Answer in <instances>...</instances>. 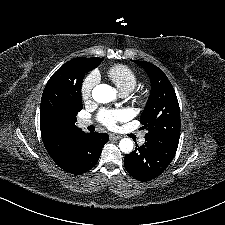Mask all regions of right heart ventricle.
Instances as JSON below:
<instances>
[{"instance_id": "e07e8e85", "label": "right heart ventricle", "mask_w": 225, "mask_h": 225, "mask_svg": "<svg viewBox=\"0 0 225 225\" xmlns=\"http://www.w3.org/2000/svg\"><path fill=\"white\" fill-rule=\"evenodd\" d=\"M107 76L115 83L120 93H130L137 85V74L126 65H116L107 70Z\"/></svg>"}]
</instances>
